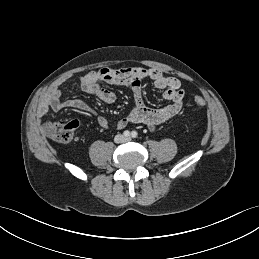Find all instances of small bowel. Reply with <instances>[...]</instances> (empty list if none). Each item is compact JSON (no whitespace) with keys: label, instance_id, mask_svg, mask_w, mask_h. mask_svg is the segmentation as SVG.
Instances as JSON below:
<instances>
[{"label":"small bowel","instance_id":"c3829d8e","mask_svg":"<svg viewBox=\"0 0 259 259\" xmlns=\"http://www.w3.org/2000/svg\"><path fill=\"white\" fill-rule=\"evenodd\" d=\"M67 79L64 78L62 82ZM144 79L151 80L156 89L163 91L164 99L169 101L166 106L149 108L145 105L141 88V82ZM77 80L83 91L97 96L106 104L115 102L116 94L102 86V83L128 86L131 89L133 107L126 116L116 123L117 129H123L129 124H145L153 131L158 125L176 116L183 106L184 91L180 81L176 77L164 75L159 69L153 67L101 68L80 76ZM64 108H74L96 117L98 125L104 129L110 127V121L104 116H98L97 112L84 101L62 99V92L58 86L50 90L47 99L38 110V117L41 120L50 110L58 111Z\"/></svg>","mask_w":259,"mask_h":259}]
</instances>
